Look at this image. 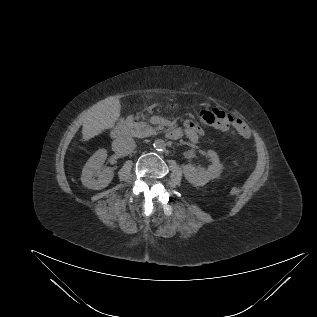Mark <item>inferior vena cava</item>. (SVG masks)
Returning <instances> with one entry per match:
<instances>
[{
  "label": "inferior vena cava",
  "instance_id": "602c4592",
  "mask_svg": "<svg viewBox=\"0 0 317 317\" xmlns=\"http://www.w3.org/2000/svg\"><path fill=\"white\" fill-rule=\"evenodd\" d=\"M136 144L130 137H120L113 141L112 149L120 155H128L134 151Z\"/></svg>",
  "mask_w": 317,
  "mask_h": 317
}]
</instances>
